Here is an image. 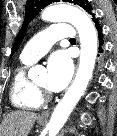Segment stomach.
<instances>
[{
	"label": "stomach",
	"mask_w": 117,
	"mask_h": 136,
	"mask_svg": "<svg viewBox=\"0 0 117 136\" xmlns=\"http://www.w3.org/2000/svg\"><path fill=\"white\" fill-rule=\"evenodd\" d=\"M38 123H39V124H42V123H44V120L41 119V118H39V119H38Z\"/></svg>",
	"instance_id": "obj_1"
}]
</instances>
